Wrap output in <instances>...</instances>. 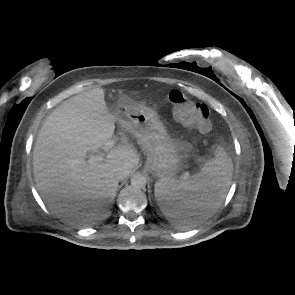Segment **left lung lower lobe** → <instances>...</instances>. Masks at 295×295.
Masks as SVG:
<instances>
[{
  "mask_svg": "<svg viewBox=\"0 0 295 295\" xmlns=\"http://www.w3.org/2000/svg\"><path fill=\"white\" fill-rule=\"evenodd\" d=\"M193 212L196 214H200V213H203V210H200V208H199V209L194 210Z\"/></svg>",
  "mask_w": 295,
  "mask_h": 295,
  "instance_id": "0a47b994",
  "label": "left lung lower lobe"
}]
</instances>
